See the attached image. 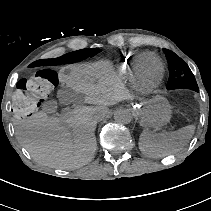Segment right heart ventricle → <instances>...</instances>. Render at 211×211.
<instances>
[{
    "instance_id": "right-heart-ventricle-1",
    "label": "right heart ventricle",
    "mask_w": 211,
    "mask_h": 211,
    "mask_svg": "<svg viewBox=\"0 0 211 211\" xmlns=\"http://www.w3.org/2000/svg\"><path fill=\"white\" fill-rule=\"evenodd\" d=\"M146 59L147 54L144 51L129 53L123 56V58L119 59V70L122 76H124L125 80H134L136 71L138 70L139 66L145 64Z\"/></svg>"
}]
</instances>
